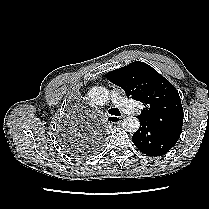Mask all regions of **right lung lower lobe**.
I'll return each instance as SVG.
<instances>
[{
	"label": "right lung lower lobe",
	"instance_id": "right-lung-lower-lobe-1",
	"mask_svg": "<svg viewBox=\"0 0 209 209\" xmlns=\"http://www.w3.org/2000/svg\"><path fill=\"white\" fill-rule=\"evenodd\" d=\"M95 147H88V146H80V147H77V149H75V152L77 151V153H85V154H89V153H93V151L95 150V148L97 147V146H99L101 143H102V140H103V138H102V135L101 134H97L96 136H95Z\"/></svg>",
	"mask_w": 209,
	"mask_h": 209
}]
</instances>
